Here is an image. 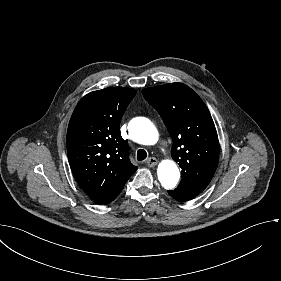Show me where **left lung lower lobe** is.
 <instances>
[{
  "instance_id": "left-lung-lower-lobe-1",
  "label": "left lung lower lobe",
  "mask_w": 281,
  "mask_h": 281,
  "mask_svg": "<svg viewBox=\"0 0 281 281\" xmlns=\"http://www.w3.org/2000/svg\"><path fill=\"white\" fill-rule=\"evenodd\" d=\"M168 193L172 198H174L178 201H188L195 197V195H193V194H190V193H187V192H184L181 190H177V189L168 191Z\"/></svg>"
}]
</instances>
